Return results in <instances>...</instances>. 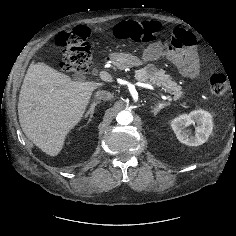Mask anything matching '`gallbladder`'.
<instances>
[{
    "label": "gallbladder",
    "instance_id": "1",
    "mask_svg": "<svg viewBox=\"0 0 236 236\" xmlns=\"http://www.w3.org/2000/svg\"><path fill=\"white\" fill-rule=\"evenodd\" d=\"M75 78L80 79L78 75H75Z\"/></svg>",
    "mask_w": 236,
    "mask_h": 236
}]
</instances>
